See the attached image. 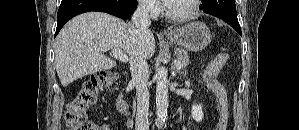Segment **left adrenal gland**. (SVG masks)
<instances>
[{"label":"left adrenal gland","mask_w":299,"mask_h":130,"mask_svg":"<svg viewBox=\"0 0 299 130\" xmlns=\"http://www.w3.org/2000/svg\"><path fill=\"white\" fill-rule=\"evenodd\" d=\"M174 72H175L176 74H179V75H184V73L179 72L178 70H175V69H174ZM174 72H173V73H174Z\"/></svg>","instance_id":"obj_1"}]
</instances>
